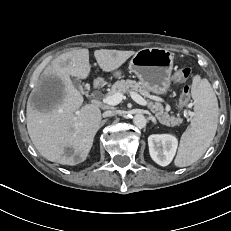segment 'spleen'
Returning <instances> with one entry per match:
<instances>
[{
    "instance_id": "1",
    "label": "spleen",
    "mask_w": 231,
    "mask_h": 231,
    "mask_svg": "<svg viewBox=\"0 0 231 231\" xmlns=\"http://www.w3.org/2000/svg\"><path fill=\"white\" fill-rule=\"evenodd\" d=\"M194 117L190 127L182 134L174 163L186 167L206 152L216 134L219 108L217 97L209 81L196 76L192 86Z\"/></svg>"
}]
</instances>
